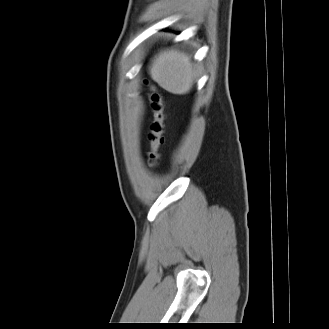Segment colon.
Segmentation results:
<instances>
[{
    "mask_svg": "<svg viewBox=\"0 0 329 329\" xmlns=\"http://www.w3.org/2000/svg\"><path fill=\"white\" fill-rule=\"evenodd\" d=\"M150 91V102L154 112V120L149 133L150 149L147 153V157L149 165L151 167H156L160 157V147L164 143L165 105L161 93L154 86H150Z\"/></svg>",
    "mask_w": 329,
    "mask_h": 329,
    "instance_id": "obj_1",
    "label": "colon"
}]
</instances>
